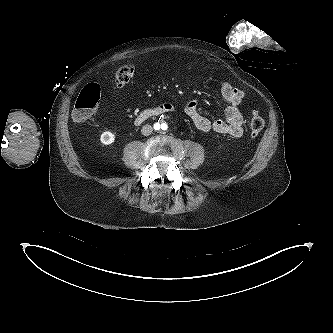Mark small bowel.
<instances>
[{"instance_id": "small-bowel-1", "label": "small bowel", "mask_w": 333, "mask_h": 333, "mask_svg": "<svg viewBox=\"0 0 333 333\" xmlns=\"http://www.w3.org/2000/svg\"><path fill=\"white\" fill-rule=\"evenodd\" d=\"M220 93L227 104L223 119L209 120L199 112L196 101H190L186 104L185 113L195 127L202 132L214 131L236 138L241 137L243 134V116L239 105L245 97V92L227 82H223L220 85Z\"/></svg>"}]
</instances>
